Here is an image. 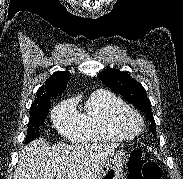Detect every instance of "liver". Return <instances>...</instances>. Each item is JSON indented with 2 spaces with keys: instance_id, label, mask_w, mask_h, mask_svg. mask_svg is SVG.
Here are the masks:
<instances>
[{
  "instance_id": "liver-1",
  "label": "liver",
  "mask_w": 183,
  "mask_h": 179,
  "mask_svg": "<svg viewBox=\"0 0 183 179\" xmlns=\"http://www.w3.org/2000/svg\"><path fill=\"white\" fill-rule=\"evenodd\" d=\"M117 144L49 146L42 138L19 155L14 179H96Z\"/></svg>"
}]
</instances>
